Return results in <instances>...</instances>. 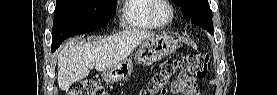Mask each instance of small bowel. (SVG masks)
<instances>
[{"label":"small bowel","instance_id":"obj_1","mask_svg":"<svg viewBox=\"0 0 277 95\" xmlns=\"http://www.w3.org/2000/svg\"><path fill=\"white\" fill-rule=\"evenodd\" d=\"M170 91L180 95H198L200 87L197 80L193 77L179 76L171 85Z\"/></svg>","mask_w":277,"mask_h":95}]
</instances>
